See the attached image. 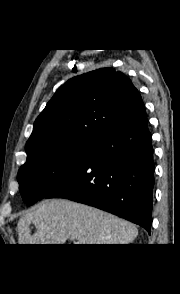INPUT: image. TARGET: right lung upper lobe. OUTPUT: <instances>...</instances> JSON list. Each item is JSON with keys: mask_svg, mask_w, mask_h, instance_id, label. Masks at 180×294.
<instances>
[{"mask_svg": "<svg viewBox=\"0 0 180 294\" xmlns=\"http://www.w3.org/2000/svg\"><path fill=\"white\" fill-rule=\"evenodd\" d=\"M143 104L131 80L101 68L63 84L34 122L27 158L39 150L74 140L97 141Z\"/></svg>", "mask_w": 180, "mask_h": 294, "instance_id": "cb5924a9", "label": "right lung upper lobe"}]
</instances>
